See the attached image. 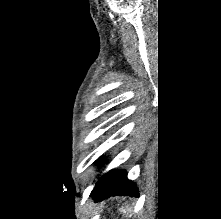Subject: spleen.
<instances>
[{"label":"spleen","instance_id":"obj_1","mask_svg":"<svg viewBox=\"0 0 221 219\" xmlns=\"http://www.w3.org/2000/svg\"><path fill=\"white\" fill-rule=\"evenodd\" d=\"M131 208L130 209H124V208H121V212L123 213L124 216H128V214L131 213Z\"/></svg>","mask_w":221,"mask_h":219}]
</instances>
